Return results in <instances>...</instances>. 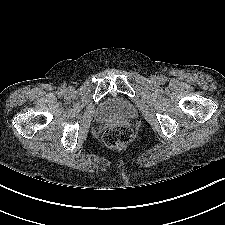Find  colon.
Here are the masks:
<instances>
[{
    "label": "colon",
    "mask_w": 225,
    "mask_h": 225,
    "mask_svg": "<svg viewBox=\"0 0 225 225\" xmlns=\"http://www.w3.org/2000/svg\"><path fill=\"white\" fill-rule=\"evenodd\" d=\"M132 137V130L128 126L115 125L105 131L103 141L108 146L116 147L129 143Z\"/></svg>",
    "instance_id": "5ec220e1"
}]
</instances>
